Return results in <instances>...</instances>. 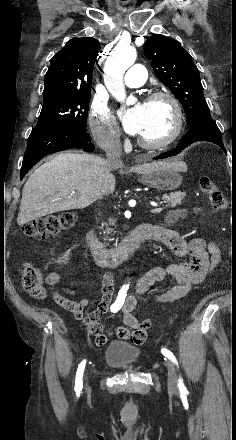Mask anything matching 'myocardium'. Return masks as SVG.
I'll return each mask as SVG.
<instances>
[{"label":"myocardium","mask_w":236,"mask_h":440,"mask_svg":"<svg viewBox=\"0 0 236 440\" xmlns=\"http://www.w3.org/2000/svg\"><path fill=\"white\" fill-rule=\"evenodd\" d=\"M160 99L166 100L171 106L173 112V127L170 134L161 141L149 142L139 137L137 143L144 149L158 150L166 148L179 138L183 130L184 118L178 99L168 91L158 90L150 93L146 98V102L149 103Z\"/></svg>","instance_id":"myocardium-1"}]
</instances>
